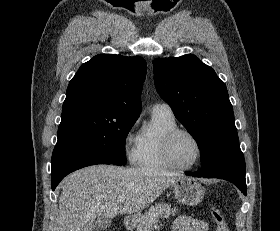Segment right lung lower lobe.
Listing matches in <instances>:
<instances>
[{
    "instance_id": "obj_1",
    "label": "right lung lower lobe",
    "mask_w": 280,
    "mask_h": 231,
    "mask_svg": "<svg viewBox=\"0 0 280 231\" xmlns=\"http://www.w3.org/2000/svg\"><path fill=\"white\" fill-rule=\"evenodd\" d=\"M96 164L112 163L101 158L86 155L76 151H53L51 170L52 190H54L59 182L69 173L80 168Z\"/></svg>"
}]
</instances>
